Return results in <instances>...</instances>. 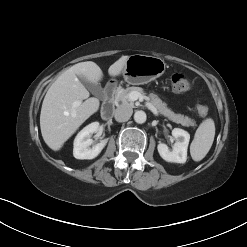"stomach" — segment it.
I'll return each mask as SVG.
<instances>
[{"label":"stomach","mask_w":247,"mask_h":247,"mask_svg":"<svg viewBox=\"0 0 247 247\" xmlns=\"http://www.w3.org/2000/svg\"><path fill=\"white\" fill-rule=\"evenodd\" d=\"M165 69L166 63L160 57L134 54L128 57L122 74L127 83L143 85L163 75Z\"/></svg>","instance_id":"1"}]
</instances>
